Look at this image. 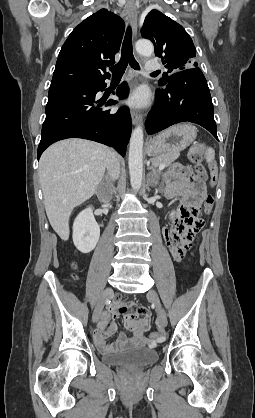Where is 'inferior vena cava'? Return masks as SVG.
<instances>
[{
  "label": "inferior vena cava",
  "instance_id": "602c4592",
  "mask_svg": "<svg viewBox=\"0 0 255 418\" xmlns=\"http://www.w3.org/2000/svg\"><path fill=\"white\" fill-rule=\"evenodd\" d=\"M106 167L110 178L116 180L120 173V162L117 153L112 149H108Z\"/></svg>",
  "mask_w": 255,
  "mask_h": 418
}]
</instances>
